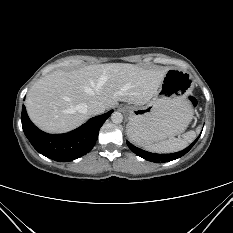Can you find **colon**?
Instances as JSON below:
<instances>
[{
  "mask_svg": "<svg viewBox=\"0 0 233 233\" xmlns=\"http://www.w3.org/2000/svg\"><path fill=\"white\" fill-rule=\"evenodd\" d=\"M190 101H191V103H192V105H193L194 107L197 106L198 102H197V99H196L195 97H190Z\"/></svg>",
  "mask_w": 233,
  "mask_h": 233,
  "instance_id": "1",
  "label": "colon"
}]
</instances>
